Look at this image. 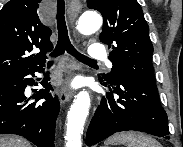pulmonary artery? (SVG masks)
I'll list each match as a JSON object with an SVG mask.
<instances>
[{"label":"pulmonary artery","mask_w":183,"mask_h":147,"mask_svg":"<svg viewBox=\"0 0 183 147\" xmlns=\"http://www.w3.org/2000/svg\"><path fill=\"white\" fill-rule=\"evenodd\" d=\"M88 54L92 59H104L106 56V51L101 44L94 43L89 47ZM109 65L111 64L109 63Z\"/></svg>","instance_id":"e3ab8cb5"}]
</instances>
